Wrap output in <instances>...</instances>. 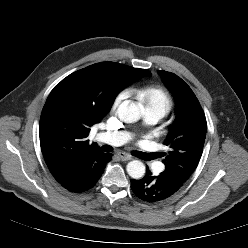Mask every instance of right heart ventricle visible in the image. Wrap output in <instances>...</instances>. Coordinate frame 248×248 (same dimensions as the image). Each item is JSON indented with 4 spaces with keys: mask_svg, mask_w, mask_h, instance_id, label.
I'll return each instance as SVG.
<instances>
[{
    "mask_svg": "<svg viewBox=\"0 0 248 248\" xmlns=\"http://www.w3.org/2000/svg\"><path fill=\"white\" fill-rule=\"evenodd\" d=\"M137 95L145 110L151 109L162 112L166 115L173 106L171 96L161 87L150 85L136 88Z\"/></svg>",
    "mask_w": 248,
    "mask_h": 248,
    "instance_id": "e07e8e85",
    "label": "right heart ventricle"
}]
</instances>
